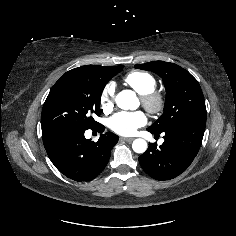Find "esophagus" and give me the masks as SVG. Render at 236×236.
Masks as SVG:
<instances>
[{"label":"esophagus","mask_w":236,"mask_h":236,"mask_svg":"<svg viewBox=\"0 0 236 236\" xmlns=\"http://www.w3.org/2000/svg\"><path fill=\"white\" fill-rule=\"evenodd\" d=\"M120 139L123 140V141H126V142H131V141L134 140V138H132V137H130V138L121 137Z\"/></svg>","instance_id":"esophagus-1"}]
</instances>
